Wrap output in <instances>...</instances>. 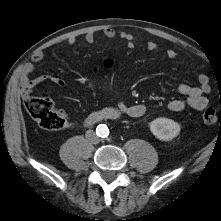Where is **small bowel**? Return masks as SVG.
Returning a JSON list of instances; mask_svg holds the SVG:
<instances>
[{
  "mask_svg": "<svg viewBox=\"0 0 221 221\" xmlns=\"http://www.w3.org/2000/svg\"><path fill=\"white\" fill-rule=\"evenodd\" d=\"M104 37L108 39H114L117 36L116 31L111 27H106L102 30ZM120 37L126 42L129 49L134 48L137 41V37L130 33H121ZM84 40L88 44H92L96 41V34L94 32H88L84 36ZM75 43V38L71 37L68 39V44L73 45ZM159 45L154 41H148L146 43V49L148 51H157ZM167 58L175 59L177 57V52L174 49H167L165 52ZM43 59L42 52H36L32 58L31 62L26 63L22 68V75L20 79L21 84V94L24 99L30 96L32 90L39 86L40 84L49 81L58 87H64L65 81L57 76L43 74L35 78H31V74L35 69V63ZM198 85L193 86L187 83H179L177 85V91L183 95L185 98L173 99L169 102L168 108L173 112H180L187 107L193 108L195 110L201 111L205 109L208 105V99L206 97L209 91V79L206 74L198 75ZM118 109L132 117L138 118L144 115L146 112V106L143 104H127L123 101L118 103ZM62 116H66L63 111H61Z\"/></svg>",
  "mask_w": 221,
  "mask_h": 221,
  "instance_id": "obj_1",
  "label": "small bowel"
}]
</instances>
